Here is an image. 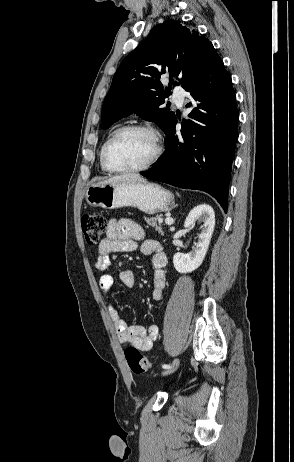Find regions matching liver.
<instances>
[{"label":"liver","instance_id":"6515ba94","mask_svg":"<svg viewBox=\"0 0 294 462\" xmlns=\"http://www.w3.org/2000/svg\"><path fill=\"white\" fill-rule=\"evenodd\" d=\"M125 180L140 181V182L145 181L141 176L137 174H123V175L111 177L108 180L100 182L99 184H109V183H115V182L125 181Z\"/></svg>","mask_w":294,"mask_h":462}]
</instances>
